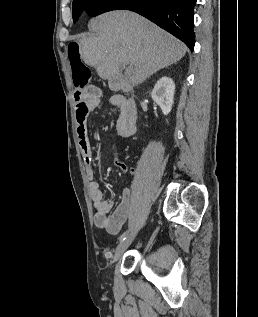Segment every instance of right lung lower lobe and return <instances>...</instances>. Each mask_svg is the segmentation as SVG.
Listing matches in <instances>:
<instances>
[{"mask_svg":"<svg viewBox=\"0 0 258 317\" xmlns=\"http://www.w3.org/2000/svg\"><path fill=\"white\" fill-rule=\"evenodd\" d=\"M197 0H116L111 10L134 11L182 40L191 51L195 44L194 5ZM83 13L96 16L99 8L87 6Z\"/></svg>","mask_w":258,"mask_h":317,"instance_id":"obj_1","label":"right lung lower lobe"}]
</instances>
